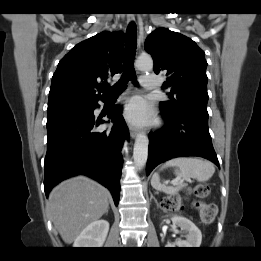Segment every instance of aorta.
<instances>
[{
  "mask_svg": "<svg viewBox=\"0 0 261 261\" xmlns=\"http://www.w3.org/2000/svg\"><path fill=\"white\" fill-rule=\"evenodd\" d=\"M136 67L142 71H150L153 68V60L150 56H140L136 60ZM148 145L149 140L147 135L144 132L138 133L133 150L134 163L138 169H142L146 164L148 157Z\"/></svg>",
  "mask_w": 261,
  "mask_h": 261,
  "instance_id": "762f6f07",
  "label": "aorta"
}]
</instances>
